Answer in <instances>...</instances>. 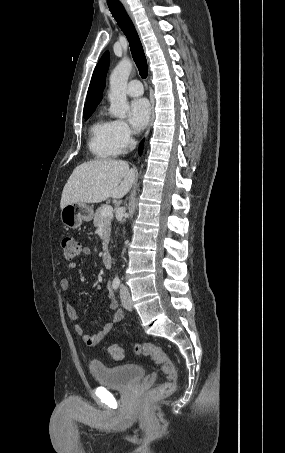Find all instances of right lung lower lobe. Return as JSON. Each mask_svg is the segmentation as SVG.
<instances>
[{
	"label": "right lung lower lobe",
	"mask_w": 285,
	"mask_h": 453,
	"mask_svg": "<svg viewBox=\"0 0 285 453\" xmlns=\"http://www.w3.org/2000/svg\"><path fill=\"white\" fill-rule=\"evenodd\" d=\"M142 148H143V145L141 144L140 147H139V153L141 154L142 152Z\"/></svg>",
	"instance_id": "1"
}]
</instances>
